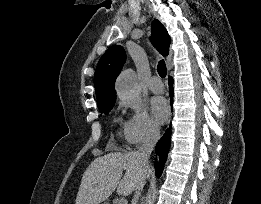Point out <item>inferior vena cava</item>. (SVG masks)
Returning <instances> with one entry per match:
<instances>
[{"mask_svg":"<svg viewBox=\"0 0 261 204\" xmlns=\"http://www.w3.org/2000/svg\"><path fill=\"white\" fill-rule=\"evenodd\" d=\"M160 138V131L159 128L156 126H151L142 143L140 144V146L138 147V151H137V157L140 161V164L143 168H147L149 165V156L153 151V148L155 146V144L157 143V141ZM143 188V183H140L135 190V194L132 198L131 204H137L139 196L141 194Z\"/></svg>","mask_w":261,"mask_h":204,"instance_id":"1","label":"inferior vena cava"}]
</instances>
